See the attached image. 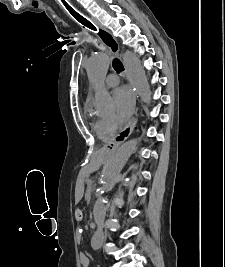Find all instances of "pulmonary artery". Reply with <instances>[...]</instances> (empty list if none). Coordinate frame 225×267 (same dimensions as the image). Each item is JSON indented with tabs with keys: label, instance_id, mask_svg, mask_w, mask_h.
Here are the masks:
<instances>
[{
	"label": "pulmonary artery",
	"instance_id": "1",
	"mask_svg": "<svg viewBox=\"0 0 225 267\" xmlns=\"http://www.w3.org/2000/svg\"><path fill=\"white\" fill-rule=\"evenodd\" d=\"M119 78L115 74H110L107 76L105 83L107 87H114L118 84Z\"/></svg>",
	"mask_w": 225,
	"mask_h": 267
}]
</instances>
